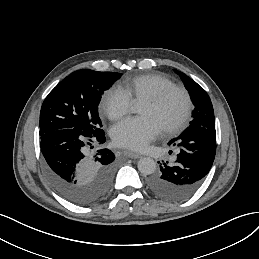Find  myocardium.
I'll list each match as a JSON object with an SVG mask.
<instances>
[{
  "mask_svg": "<svg viewBox=\"0 0 259 259\" xmlns=\"http://www.w3.org/2000/svg\"><path fill=\"white\" fill-rule=\"evenodd\" d=\"M174 94H180L183 97L184 109L180 118L174 124L162 128V132L167 135H174L178 133L188 122L193 108L192 98L189 91L183 86L173 84L162 89L157 94L145 99V101L151 105L159 106Z\"/></svg>",
  "mask_w": 259,
  "mask_h": 259,
  "instance_id": "f54148a6",
  "label": "myocardium"
}]
</instances>
